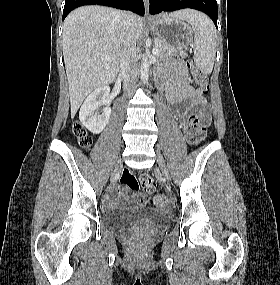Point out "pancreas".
<instances>
[{
  "label": "pancreas",
  "mask_w": 280,
  "mask_h": 285,
  "mask_svg": "<svg viewBox=\"0 0 280 285\" xmlns=\"http://www.w3.org/2000/svg\"><path fill=\"white\" fill-rule=\"evenodd\" d=\"M154 42H155V47L158 48V53L156 54V57L159 59L168 58L177 55H180L183 58L187 56L185 51L179 50L171 46L170 44L166 43L160 38H155Z\"/></svg>",
  "instance_id": "1"
}]
</instances>
